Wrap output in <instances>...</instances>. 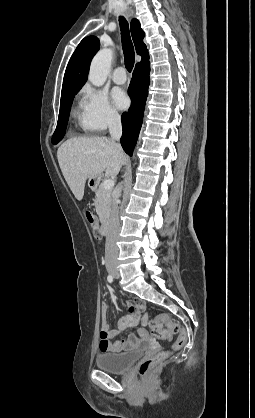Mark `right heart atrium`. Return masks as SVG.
Returning <instances> with one entry per match:
<instances>
[{"label":"right heart atrium","mask_w":255,"mask_h":418,"mask_svg":"<svg viewBox=\"0 0 255 418\" xmlns=\"http://www.w3.org/2000/svg\"><path fill=\"white\" fill-rule=\"evenodd\" d=\"M80 110V124L87 131L100 132L120 120L107 93L90 85L81 91Z\"/></svg>","instance_id":"right-heart-atrium-1"}]
</instances>
